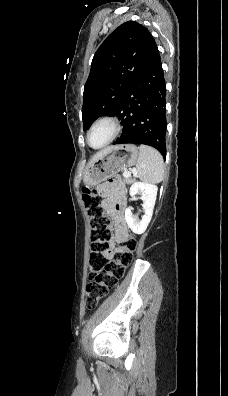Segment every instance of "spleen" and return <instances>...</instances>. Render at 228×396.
<instances>
[{
	"label": "spleen",
	"instance_id": "3e777b00",
	"mask_svg": "<svg viewBox=\"0 0 228 396\" xmlns=\"http://www.w3.org/2000/svg\"><path fill=\"white\" fill-rule=\"evenodd\" d=\"M136 164L137 177L148 183H159L164 179V161L154 148L140 145Z\"/></svg>",
	"mask_w": 228,
	"mask_h": 396
}]
</instances>
